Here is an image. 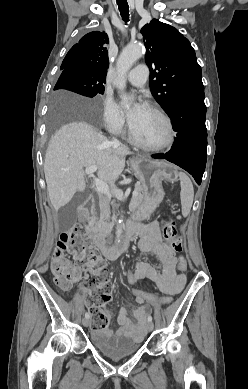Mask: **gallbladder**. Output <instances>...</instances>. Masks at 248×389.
Instances as JSON below:
<instances>
[{
  "instance_id": "1",
  "label": "gallbladder",
  "mask_w": 248,
  "mask_h": 389,
  "mask_svg": "<svg viewBox=\"0 0 248 389\" xmlns=\"http://www.w3.org/2000/svg\"><path fill=\"white\" fill-rule=\"evenodd\" d=\"M87 196L88 192L86 191L76 194L65 208V210H68L71 223H74L76 220V207L82 204L86 200ZM66 217V215H63L62 221H65Z\"/></svg>"
}]
</instances>
